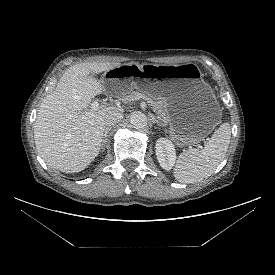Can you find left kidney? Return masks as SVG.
<instances>
[{"label": "left kidney", "mask_w": 275, "mask_h": 275, "mask_svg": "<svg viewBox=\"0 0 275 275\" xmlns=\"http://www.w3.org/2000/svg\"><path fill=\"white\" fill-rule=\"evenodd\" d=\"M156 156L163 169L171 170L176 160V151L172 142L166 138H159L156 142Z\"/></svg>", "instance_id": "5707ae66"}]
</instances>
